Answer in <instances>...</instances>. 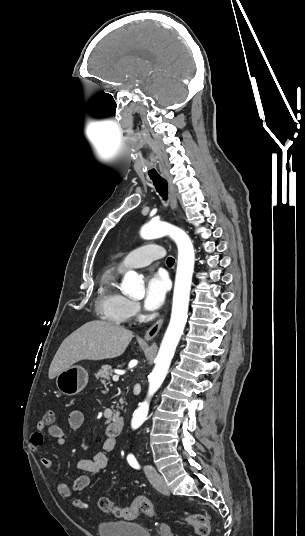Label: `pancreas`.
I'll use <instances>...</instances> for the list:
<instances>
[{
    "mask_svg": "<svg viewBox=\"0 0 305 536\" xmlns=\"http://www.w3.org/2000/svg\"><path fill=\"white\" fill-rule=\"evenodd\" d=\"M95 376L97 380H100L101 384H105L106 380H110V376H113L111 366H102L101 370H99ZM121 404H123L122 400ZM122 408H120V410H122ZM114 416H120V412H115Z\"/></svg>",
    "mask_w": 305,
    "mask_h": 536,
    "instance_id": "cf45deb5",
    "label": "pancreas"
}]
</instances>
